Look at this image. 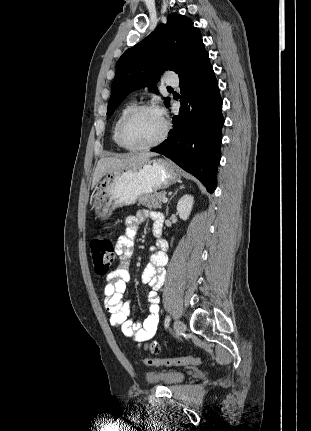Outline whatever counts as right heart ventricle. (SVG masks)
<instances>
[{
  "mask_svg": "<svg viewBox=\"0 0 311 431\" xmlns=\"http://www.w3.org/2000/svg\"><path fill=\"white\" fill-rule=\"evenodd\" d=\"M134 106H136V100L134 99H128L126 100L122 106L119 108L117 115L115 117L114 123H113V129H112V140L116 147L119 149H124L123 145L121 144L119 137H118V123L120 119L123 117L124 114H126L130 109H132Z\"/></svg>",
  "mask_w": 311,
  "mask_h": 431,
  "instance_id": "right-heart-ventricle-1",
  "label": "right heart ventricle"
}]
</instances>
